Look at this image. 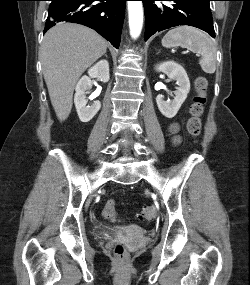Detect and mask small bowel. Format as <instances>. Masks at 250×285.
<instances>
[{"mask_svg": "<svg viewBox=\"0 0 250 285\" xmlns=\"http://www.w3.org/2000/svg\"><path fill=\"white\" fill-rule=\"evenodd\" d=\"M177 130H178V125L176 123H174L170 126V131L173 134H176ZM173 141H174V143H178L180 141V138L177 135H175L173 138Z\"/></svg>", "mask_w": 250, "mask_h": 285, "instance_id": "1", "label": "small bowel"}]
</instances>
